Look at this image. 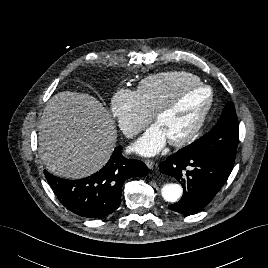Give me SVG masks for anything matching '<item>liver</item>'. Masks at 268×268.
<instances>
[{"label":"liver","instance_id":"obj_1","mask_svg":"<svg viewBox=\"0 0 268 268\" xmlns=\"http://www.w3.org/2000/svg\"><path fill=\"white\" fill-rule=\"evenodd\" d=\"M38 139L40 158L50 173L79 179L108 162L117 131L109 111L95 97L63 91L46 104Z\"/></svg>","mask_w":268,"mask_h":268}]
</instances>
